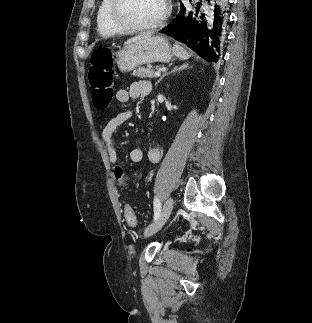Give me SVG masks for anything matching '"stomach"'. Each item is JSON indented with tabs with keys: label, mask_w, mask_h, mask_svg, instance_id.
Instances as JSON below:
<instances>
[{
	"label": "stomach",
	"mask_w": 312,
	"mask_h": 323,
	"mask_svg": "<svg viewBox=\"0 0 312 323\" xmlns=\"http://www.w3.org/2000/svg\"><path fill=\"white\" fill-rule=\"evenodd\" d=\"M173 52L165 36H150L141 38L123 46L116 52V64L120 72H132L144 64L153 62H170Z\"/></svg>",
	"instance_id": "obj_1"
}]
</instances>
